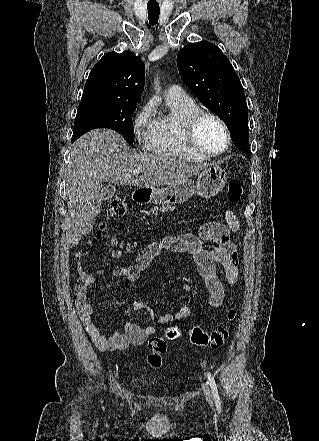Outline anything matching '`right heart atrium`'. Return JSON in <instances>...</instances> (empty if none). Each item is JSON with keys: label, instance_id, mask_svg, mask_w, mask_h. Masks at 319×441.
Returning <instances> with one entry per match:
<instances>
[{"label": "right heart atrium", "instance_id": "obj_1", "mask_svg": "<svg viewBox=\"0 0 319 441\" xmlns=\"http://www.w3.org/2000/svg\"><path fill=\"white\" fill-rule=\"evenodd\" d=\"M155 126L154 106L151 102H147L136 112L132 121L133 133L139 148L150 149Z\"/></svg>", "mask_w": 319, "mask_h": 441}]
</instances>
